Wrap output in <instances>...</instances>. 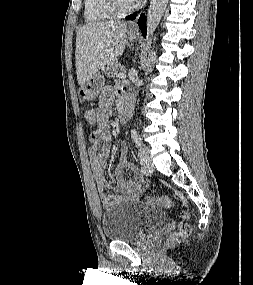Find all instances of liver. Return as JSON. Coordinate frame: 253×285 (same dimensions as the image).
<instances>
[{
	"instance_id": "6515ba94",
	"label": "liver",
	"mask_w": 253,
	"mask_h": 285,
	"mask_svg": "<svg viewBox=\"0 0 253 285\" xmlns=\"http://www.w3.org/2000/svg\"><path fill=\"white\" fill-rule=\"evenodd\" d=\"M126 28V22H99L78 29L75 65L80 86L123 54Z\"/></svg>"
}]
</instances>
